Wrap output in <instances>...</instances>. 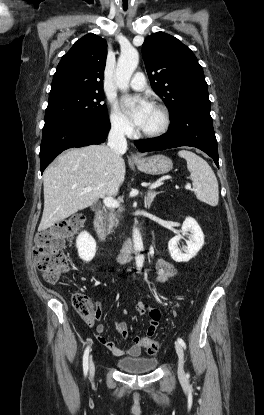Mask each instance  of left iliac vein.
<instances>
[{"instance_id":"1","label":"left iliac vein","mask_w":264,"mask_h":415,"mask_svg":"<svg viewBox=\"0 0 264 415\" xmlns=\"http://www.w3.org/2000/svg\"><path fill=\"white\" fill-rule=\"evenodd\" d=\"M175 350L178 355V375L181 379L185 378V371H184V353L182 346L178 343V341L175 342Z\"/></svg>"}]
</instances>
